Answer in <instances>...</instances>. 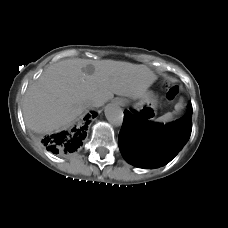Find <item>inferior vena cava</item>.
Segmentation results:
<instances>
[{
  "label": "inferior vena cava",
  "mask_w": 228,
  "mask_h": 228,
  "mask_svg": "<svg viewBox=\"0 0 228 228\" xmlns=\"http://www.w3.org/2000/svg\"><path fill=\"white\" fill-rule=\"evenodd\" d=\"M92 105H93L92 101H87V102L85 103V106H86V107H91Z\"/></svg>",
  "instance_id": "inferior-vena-cava-1"
}]
</instances>
